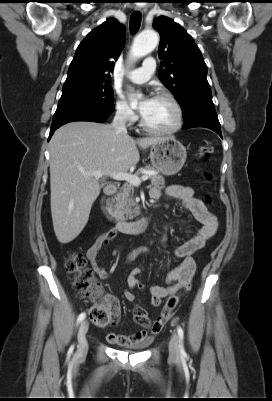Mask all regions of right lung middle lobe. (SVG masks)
Wrapping results in <instances>:
<instances>
[{
  "label": "right lung middle lobe",
  "instance_id": "right-lung-middle-lobe-1",
  "mask_svg": "<svg viewBox=\"0 0 272 401\" xmlns=\"http://www.w3.org/2000/svg\"><path fill=\"white\" fill-rule=\"evenodd\" d=\"M110 84L105 81L63 90L53 121L84 112L110 115L114 108Z\"/></svg>",
  "mask_w": 272,
  "mask_h": 401
}]
</instances>
